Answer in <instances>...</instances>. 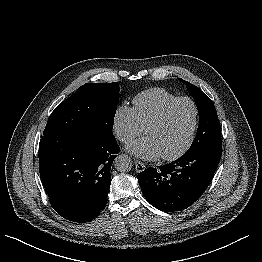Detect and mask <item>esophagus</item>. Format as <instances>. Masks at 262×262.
Returning a JSON list of instances; mask_svg holds the SVG:
<instances>
[{
  "label": "esophagus",
  "instance_id": "esophagus-1",
  "mask_svg": "<svg viewBox=\"0 0 262 262\" xmlns=\"http://www.w3.org/2000/svg\"><path fill=\"white\" fill-rule=\"evenodd\" d=\"M135 167L137 172H142L146 169V166L144 163L140 162L139 160H135Z\"/></svg>",
  "mask_w": 262,
  "mask_h": 262
}]
</instances>
